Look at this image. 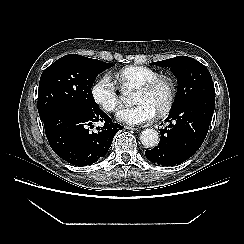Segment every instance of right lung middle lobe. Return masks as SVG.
<instances>
[{
  "label": "right lung middle lobe",
  "instance_id": "dd1d6c3e",
  "mask_svg": "<svg viewBox=\"0 0 244 244\" xmlns=\"http://www.w3.org/2000/svg\"><path fill=\"white\" fill-rule=\"evenodd\" d=\"M114 64L81 55L70 54L51 64L41 75L38 90V112L43 115L59 105L95 108L91 87L99 73Z\"/></svg>",
  "mask_w": 244,
  "mask_h": 244
}]
</instances>
